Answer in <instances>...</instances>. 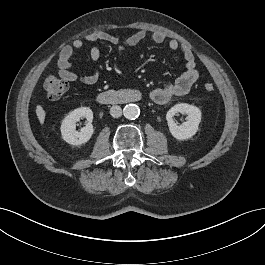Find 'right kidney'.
Listing matches in <instances>:
<instances>
[{
	"label": "right kidney",
	"instance_id": "right-kidney-1",
	"mask_svg": "<svg viewBox=\"0 0 265 265\" xmlns=\"http://www.w3.org/2000/svg\"><path fill=\"white\" fill-rule=\"evenodd\" d=\"M82 117L87 119V124L78 132L76 131V122ZM92 120L93 112L88 107H80L71 111L61 124L60 130L63 140L71 145H82L88 142L94 132Z\"/></svg>",
	"mask_w": 265,
	"mask_h": 265
}]
</instances>
